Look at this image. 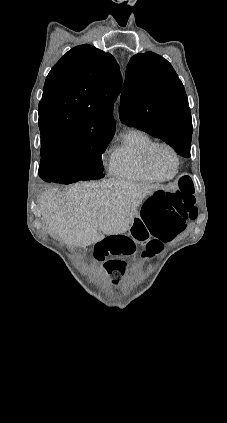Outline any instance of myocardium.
Instances as JSON below:
<instances>
[{
	"label": "myocardium",
	"mask_w": 227,
	"mask_h": 423,
	"mask_svg": "<svg viewBox=\"0 0 227 423\" xmlns=\"http://www.w3.org/2000/svg\"><path fill=\"white\" fill-rule=\"evenodd\" d=\"M158 147H163L168 149L174 156L175 162H176V169L175 172L169 176V177H162L160 176L153 168L152 164H151V155L153 153V151L158 148ZM143 163H144V167L146 169V171L155 179L159 180V181H170L173 180L180 172V167H181V159L180 156L177 152V150L170 144L166 143V142H152L151 144H149L147 146V148L144 151L143 154Z\"/></svg>",
	"instance_id": "f54148a6"
}]
</instances>
